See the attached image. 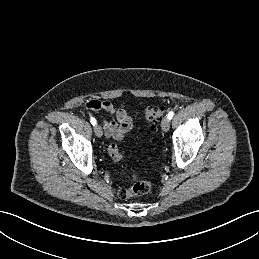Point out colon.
Masks as SVG:
<instances>
[{
	"instance_id": "obj_1",
	"label": "colon",
	"mask_w": 259,
	"mask_h": 259,
	"mask_svg": "<svg viewBox=\"0 0 259 259\" xmlns=\"http://www.w3.org/2000/svg\"><path fill=\"white\" fill-rule=\"evenodd\" d=\"M165 114V109L160 106H152L145 111V119L150 124L152 130H154L158 122ZM108 156L113 163H120L123 159L121 151L118 146L112 144L108 147ZM132 178L134 183L129 188H123L119 191V195L122 199H127L133 196H141L150 190V181L139 174H133Z\"/></svg>"
}]
</instances>
